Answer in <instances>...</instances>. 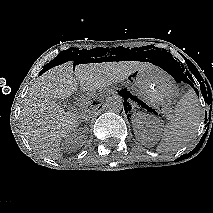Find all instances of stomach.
Listing matches in <instances>:
<instances>
[{
	"mask_svg": "<svg viewBox=\"0 0 213 213\" xmlns=\"http://www.w3.org/2000/svg\"><path fill=\"white\" fill-rule=\"evenodd\" d=\"M136 85L142 91L145 101L150 107L166 106L176 97L175 83L161 74L156 68H142L130 74Z\"/></svg>",
	"mask_w": 213,
	"mask_h": 213,
	"instance_id": "obj_1",
	"label": "stomach"
}]
</instances>
